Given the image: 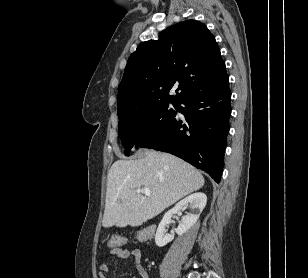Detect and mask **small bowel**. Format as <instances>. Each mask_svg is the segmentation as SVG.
<instances>
[{
    "label": "small bowel",
    "instance_id": "1",
    "mask_svg": "<svg viewBox=\"0 0 308 278\" xmlns=\"http://www.w3.org/2000/svg\"><path fill=\"white\" fill-rule=\"evenodd\" d=\"M111 257L117 259V260H124L128 258H132L135 264V267L140 275L141 278H149L148 272L142 265V253L138 248H134L132 250H128L125 248H116L113 249L110 253ZM110 269V262L109 260H105L100 265V278H108V271Z\"/></svg>",
    "mask_w": 308,
    "mask_h": 278
}]
</instances>
